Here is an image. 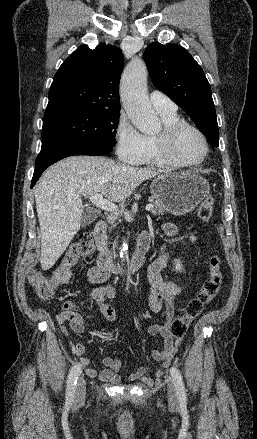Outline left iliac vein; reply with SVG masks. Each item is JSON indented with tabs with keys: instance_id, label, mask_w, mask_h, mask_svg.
I'll return each instance as SVG.
<instances>
[{
	"instance_id": "obj_1",
	"label": "left iliac vein",
	"mask_w": 257,
	"mask_h": 439,
	"mask_svg": "<svg viewBox=\"0 0 257 439\" xmlns=\"http://www.w3.org/2000/svg\"><path fill=\"white\" fill-rule=\"evenodd\" d=\"M168 398L171 403H175L177 401L173 383L168 384Z\"/></svg>"
}]
</instances>
